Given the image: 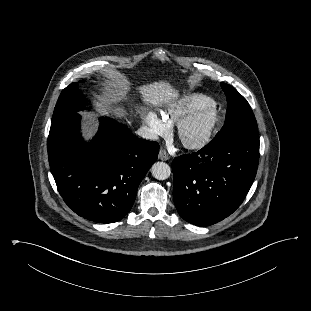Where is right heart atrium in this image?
<instances>
[{"label":"right heart atrium","instance_id":"d8ad5b80","mask_svg":"<svg viewBox=\"0 0 311 311\" xmlns=\"http://www.w3.org/2000/svg\"><path fill=\"white\" fill-rule=\"evenodd\" d=\"M144 123L146 124L148 133L152 138L163 137L170 132V125L155 113H146L144 115Z\"/></svg>","mask_w":311,"mask_h":311}]
</instances>
